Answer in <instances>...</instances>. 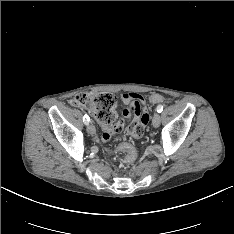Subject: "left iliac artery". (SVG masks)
Here are the masks:
<instances>
[{
    "instance_id": "44dca946",
    "label": "left iliac artery",
    "mask_w": 234,
    "mask_h": 234,
    "mask_svg": "<svg viewBox=\"0 0 234 234\" xmlns=\"http://www.w3.org/2000/svg\"><path fill=\"white\" fill-rule=\"evenodd\" d=\"M162 110H163V106H162V105H158V106L156 107V111H157L158 113H161Z\"/></svg>"
}]
</instances>
